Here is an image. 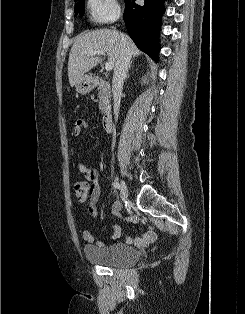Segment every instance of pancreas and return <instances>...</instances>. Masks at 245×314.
<instances>
[{"label": "pancreas", "instance_id": "obj_1", "mask_svg": "<svg viewBox=\"0 0 245 314\" xmlns=\"http://www.w3.org/2000/svg\"><path fill=\"white\" fill-rule=\"evenodd\" d=\"M97 90L99 98V109L102 113H104V111L110 107V86L106 83V81L101 79Z\"/></svg>", "mask_w": 245, "mask_h": 314}]
</instances>
